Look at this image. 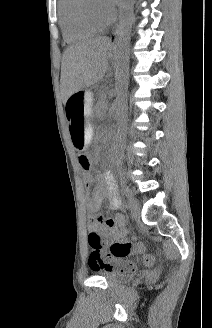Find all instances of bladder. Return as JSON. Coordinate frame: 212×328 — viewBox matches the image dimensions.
<instances>
[{
    "instance_id": "1",
    "label": "bladder",
    "mask_w": 212,
    "mask_h": 328,
    "mask_svg": "<svg viewBox=\"0 0 212 328\" xmlns=\"http://www.w3.org/2000/svg\"><path fill=\"white\" fill-rule=\"evenodd\" d=\"M98 274L103 276L109 283L112 284L125 283L132 278V275L129 273L112 270L99 271Z\"/></svg>"
}]
</instances>
